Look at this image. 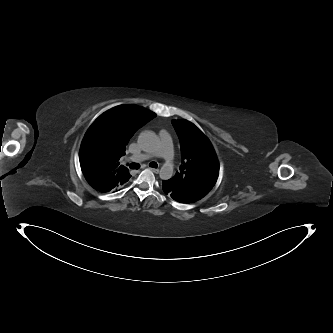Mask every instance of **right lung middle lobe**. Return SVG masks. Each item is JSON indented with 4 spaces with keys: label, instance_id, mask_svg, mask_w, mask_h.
Listing matches in <instances>:
<instances>
[{
    "label": "right lung middle lobe",
    "instance_id": "obj_1",
    "mask_svg": "<svg viewBox=\"0 0 333 333\" xmlns=\"http://www.w3.org/2000/svg\"><path fill=\"white\" fill-rule=\"evenodd\" d=\"M95 139L90 137H84L80 148V163H89L93 159V153L96 151Z\"/></svg>",
    "mask_w": 333,
    "mask_h": 333
}]
</instances>
